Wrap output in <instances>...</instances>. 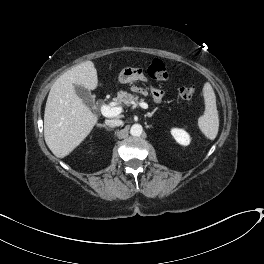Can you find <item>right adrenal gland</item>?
Masks as SVG:
<instances>
[{"label":"right adrenal gland","mask_w":264,"mask_h":264,"mask_svg":"<svg viewBox=\"0 0 264 264\" xmlns=\"http://www.w3.org/2000/svg\"><path fill=\"white\" fill-rule=\"evenodd\" d=\"M98 127H104L106 130L110 131L111 128L108 127L106 124H99Z\"/></svg>","instance_id":"1"}]
</instances>
